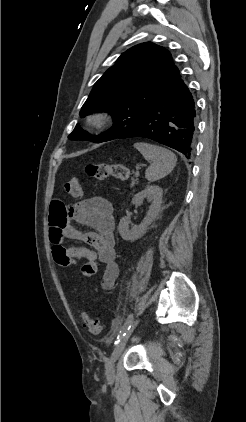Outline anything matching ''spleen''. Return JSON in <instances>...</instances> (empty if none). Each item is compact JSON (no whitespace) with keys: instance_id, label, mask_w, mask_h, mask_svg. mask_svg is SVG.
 <instances>
[{"instance_id":"3e777b00","label":"spleen","mask_w":246,"mask_h":422,"mask_svg":"<svg viewBox=\"0 0 246 422\" xmlns=\"http://www.w3.org/2000/svg\"><path fill=\"white\" fill-rule=\"evenodd\" d=\"M134 147L146 160L151 161V165L145 172V178L149 182L165 177L176 165L177 158L175 154L165 147L149 143H135Z\"/></svg>"}]
</instances>
